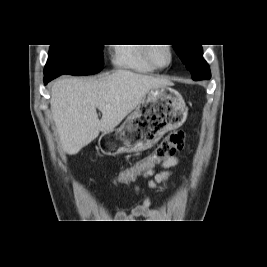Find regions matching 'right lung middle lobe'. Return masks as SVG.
I'll return each instance as SVG.
<instances>
[{"instance_id":"obj_1","label":"right lung middle lobe","mask_w":267,"mask_h":267,"mask_svg":"<svg viewBox=\"0 0 267 267\" xmlns=\"http://www.w3.org/2000/svg\"><path fill=\"white\" fill-rule=\"evenodd\" d=\"M102 46L51 45L44 68L46 74L91 75L103 68Z\"/></svg>"}]
</instances>
